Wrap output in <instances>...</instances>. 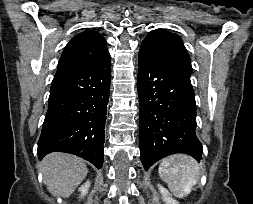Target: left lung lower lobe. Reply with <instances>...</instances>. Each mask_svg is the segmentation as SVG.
I'll list each match as a JSON object with an SVG mask.
<instances>
[{"label":"left lung lower lobe","instance_id":"1","mask_svg":"<svg viewBox=\"0 0 253 204\" xmlns=\"http://www.w3.org/2000/svg\"><path fill=\"white\" fill-rule=\"evenodd\" d=\"M138 67L139 145L144 168L175 153H186L200 162L202 145L195 134L196 102L190 75L141 51Z\"/></svg>","mask_w":253,"mask_h":204}]
</instances>
